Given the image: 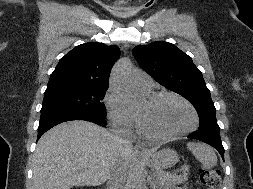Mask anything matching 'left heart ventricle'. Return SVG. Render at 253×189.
Listing matches in <instances>:
<instances>
[{
	"mask_svg": "<svg viewBox=\"0 0 253 189\" xmlns=\"http://www.w3.org/2000/svg\"><path fill=\"white\" fill-rule=\"evenodd\" d=\"M137 116L146 131L159 136L182 131L193 120L187 106L171 97L161 98L152 104L145 101L138 109Z\"/></svg>",
	"mask_w": 253,
	"mask_h": 189,
	"instance_id": "1",
	"label": "left heart ventricle"
}]
</instances>
